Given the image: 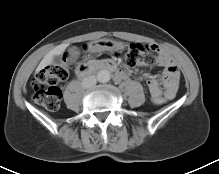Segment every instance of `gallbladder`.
Wrapping results in <instances>:
<instances>
[{"label": "gallbladder", "instance_id": "gallbladder-1", "mask_svg": "<svg viewBox=\"0 0 219 174\" xmlns=\"http://www.w3.org/2000/svg\"><path fill=\"white\" fill-rule=\"evenodd\" d=\"M68 52H69V58L71 61H75L80 55V51L77 47L70 48Z\"/></svg>", "mask_w": 219, "mask_h": 174}]
</instances>
